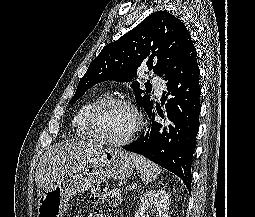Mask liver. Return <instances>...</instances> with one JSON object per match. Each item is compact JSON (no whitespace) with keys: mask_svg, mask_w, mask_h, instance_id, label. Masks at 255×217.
<instances>
[{"mask_svg":"<svg viewBox=\"0 0 255 217\" xmlns=\"http://www.w3.org/2000/svg\"><path fill=\"white\" fill-rule=\"evenodd\" d=\"M103 146L95 142H67L48 149L40 158L35 175L39 188L60 180L76 171L92 158L103 152Z\"/></svg>","mask_w":255,"mask_h":217,"instance_id":"obj_1","label":"liver"}]
</instances>
